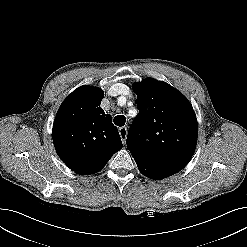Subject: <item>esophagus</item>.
<instances>
[{"label": "esophagus", "instance_id": "esophagus-1", "mask_svg": "<svg viewBox=\"0 0 247 247\" xmlns=\"http://www.w3.org/2000/svg\"><path fill=\"white\" fill-rule=\"evenodd\" d=\"M119 134H120V137H121L123 144H125L126 137H127V128L126 127H120L119 128Z\"/></svg>", "mask_w": 247, "mask_h": 247}]
</instances>
